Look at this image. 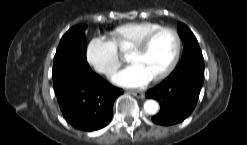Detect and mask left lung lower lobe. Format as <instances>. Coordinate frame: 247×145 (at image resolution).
<instances>
[{
  "mask_svg": "<svg viewBox=\"0 0 247 145\" xmlns=\"http://www.w3.org/2000/svg\"><path fill=\"white\" fill-rule=\"evenodd\" d=\"M204 81V60L179 63L159 85L146 93L160 103V112L152 120L161 125H172L187 118L196 106Z\"/></svg>",
  "mask_w": 247,
  "mask_h": 145,
  "instance_id": "left-lung-lower-lobe-1",
  "label": "left lung lower lobe"
}]
</instances>
